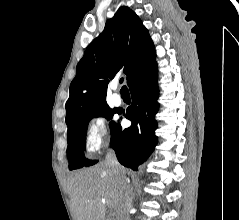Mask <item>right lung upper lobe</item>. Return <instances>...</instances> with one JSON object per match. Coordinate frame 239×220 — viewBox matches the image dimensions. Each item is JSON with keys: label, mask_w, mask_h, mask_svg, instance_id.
Here are the masks:
<instances>
[{"label": "right lung upper lobe", "mask_w": 239, "mask_h": 220, "mask_svg": "<svg viewBox=\"0 0 239 220\" xmlns=\"http://www.w3.org/2000/svg\"><path fill=\"white\" fill-rule=\"evenodd\" d=\"M155 58L153 42L141 19L130 8L120 7L77 65L66 102L67 126L107 106V86L118 72L127 75L128 84L135 75L156 63Z\"/></svg>", "instance_id": "obj_1"}]
</instances>
